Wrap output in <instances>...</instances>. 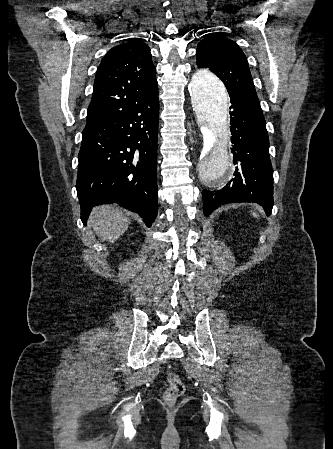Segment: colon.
Returning a JSON list of instances; mask_svg holds the SVG:
<instances>
[{"label": "colon", "mask_w": 333, "mask_h": 449, "mask_svg": "<svg viewBox=\"0 0 333 449\" xmlns=\"http://www.w3.org/2000/svg\"><path fill=\"white\" fill-rule=\"evenodd\" d=\"M168 387L164 393V399L167 403H174L184 392V384L174 373L167 375Z\"/></svg>", "instance_id": "colon-1"}]
</instances>
